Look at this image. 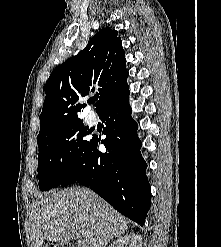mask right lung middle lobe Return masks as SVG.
<instances>
[{
  "label": "right lung middle lobe",
  "instance_id": "1",
  "mask_svg": "<svg viewBox=\"0 0 221 247\" xmlns=\"http://www.w3.org/2000/svg\"><path fill=\"white\" fill-rule=\"evenodd\" d=\"M88 127L82 121L64 125L37 138L39 189L59 186L88 148Z\"/></svg>",
  "mask_w": 221,
  "mask_h": 247
}]
</instances>
